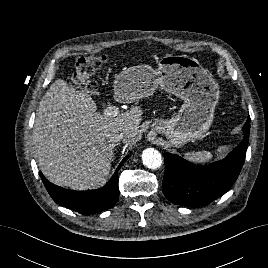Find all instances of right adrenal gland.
<instances>
[{"label": "right adrenal gland", "mask_w": 268, "mask_h": 268, "mask_svg": "<svg viewBox=\"0 0 268 268\" xmlns=\"http://www.w3.org/2000/svg\"><path fill=\"white\" fill-rule=\"evenodd\" d=\"M118 144H111L109 147H110V152H111V154L113 153V148L115 147V146H117Z\"/></svg>", "instance_id": "2a0ac1e0"}]
</instances>
